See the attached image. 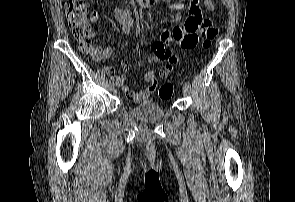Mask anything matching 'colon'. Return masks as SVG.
Segmentation results:
<instances>
[{
	"instance_id": "5ec220e1",
	"label": "colon",
	"mask_w": 295,
	"mask_h": 202,
	"mask_svg": "<svg viewBox=\"0 0 295 202\" xmlns=\"http://www.w3.org/2000/svg\"><path fill=\"white\" fill-rule=\"evenodd\" d=\"M65 16L68 26L79 43L82 51L90 52L89 38L93 34L92 26L87 14V5L84 0H67L65 3ZM204 48H209L218 34V28L213 23H208L205 28ZM148 65H155L153 56H148ZM146 75H155V70H146ZM149 90H158L159 79H148ZM159 97L168 100L172 97L173 86L163 84L158 91Z\"/></svg>"
}]
</instances>
